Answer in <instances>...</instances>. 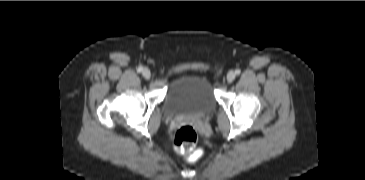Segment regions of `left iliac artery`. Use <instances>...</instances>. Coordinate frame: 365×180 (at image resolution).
I'll list each match as a JSON object with an SVG mask.
<instances>
[{"mask_svg": "<svg viewBox=\"0 0 365 180\" xmlns=\"http://www.w3.org/2000/svg\"><path fill=\"white\" fill-rule=\"evenodd\" d=\"M235 73L238 75L241 73V70L240 69H236Z\"/></svg>", "mask_w": 365, "mask_h": 180, "instance_id": "44dca946", "label": "left iliac artery"}]
</instances>
